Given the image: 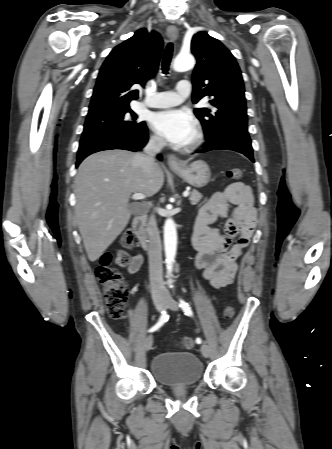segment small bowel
<instances>
[{
    "label": "small bowel",
    "instance_id": "small-bowel-1",
    "mask_svg": "<svg viewBox=\"0 0 332 449\" xmlns=\"http://www.w3.org/2000/svg\"><path fill=\"white\" fill-rule=\"evenodd\" d=\"M224 220L222 227L217 223ZM257 222L250 189L234 183L215 193L199 210L194 222L193 245L198 255L196 266L215 289L230 285L238 269V259L248 246ZM124 255V256H121ZM125 257L130 274L142 265L139 254Z\"/></svg>",
    "mask_w": 332,
    "mask_h": 449
}]
</instances>
